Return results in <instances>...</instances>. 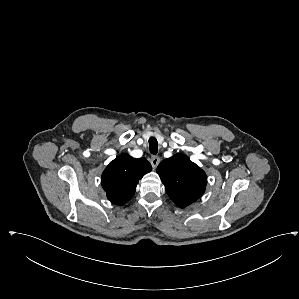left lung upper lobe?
<instances>
[{
  "instance_id": "5c2ea615",
  "label": "left lung upper lobe",
  "mask_w": 299,
  "mask_h": 299,
  "mask_svg": "<svg viewBox=\"0 0 299 299\" xmlns=\"http://www.w3.org/2000/svg\"><path fill=\"white\" fill-rule=\"evenodd\" d=\"M168 196L181 208L195 202L205 192L207 176L188 157L176 154L157 168Z\"/></svg>"
}]
</instances>
